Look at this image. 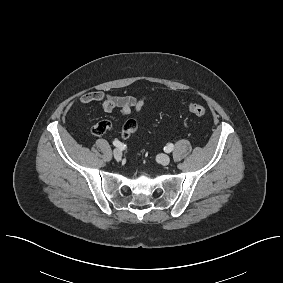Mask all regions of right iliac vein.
Wrapping results in <instances>:
<instances>
[{
    "label": "right iliac vein",
    "instance_id": "right-iliac-vein-1",
    "mask_svg": "<svg viewBox=\"0 0 283 283\" xmlns=\"http://www.w3.org/2000/svg\"><path fill=\"white\" fill-rule=\"evenodd\" d=\"M113 156H114V158L116 159V160H121V158H122V151L120 150V149H114V151H113Z\"/></svg>",
    "mask_w": 283,
    "mask_h": 283
}]
</instances>
